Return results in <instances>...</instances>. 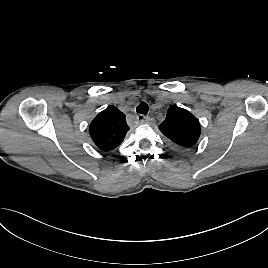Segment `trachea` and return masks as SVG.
Listing matches in <instances>:
<instances>
[{
	"label": "trachea",
	"instance_id": "obj_1",
	"mask_svg": "<svg viewBox=\"0 0 268 268\" xmlns=\"http://www.w3.org/2000/svg\"><path fill=\"white\" fill-rule=\"evenodd\" d=\"M148 110L149 109H148V105L146 102H141L136 108L137 113L144 114V115L148 113Z\"/></svg>",
	"mask_w": 268,
	"mask_h": 268
}]
</instances>
